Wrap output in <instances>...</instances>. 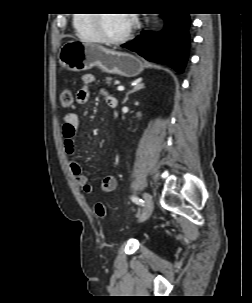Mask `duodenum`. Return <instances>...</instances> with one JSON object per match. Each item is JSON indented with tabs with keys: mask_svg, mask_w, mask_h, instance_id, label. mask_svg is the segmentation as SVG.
<instances>
[{
	"mask_svg": "<svg viewBox=\"0 0 252 303\" xmlns=\"http://www.w3.org/2000/svg\"><path fill=\"white\" fill-rule=\"evenodd\" d=\"M111 107H115V105L113 104V105H111Z\"/></svg>",
	"mask_w": 252,
	"mask_h": 303,
	"instance_id": "1",
	"label": "duodenum"
}]
</instances>
